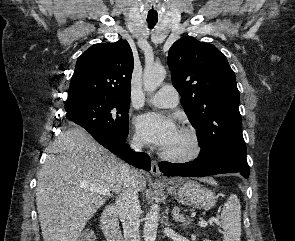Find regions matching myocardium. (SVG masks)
Segmentation results:
<instances>
[{
  "mask_svg": "<svg viewBox=\"0 0 295 241\" xmlns=\"http://www.w3.org/2000/svg\"><path fill=\"white\" fill-rule=\"evenodd\" d=\"M180 132L188 136L191 142V147L190 149L181 154H174V153H169L167 151L162 152V157L165 158L166 160H169L171 162H176V163H189L192 161L197 160L201 154L203 153L204 150V145L202 138L199 134V132L191 126H184L180 129Z\"/></svg>",
  "mask_w": 295,
  "mask_h": 241,
  "instance_id": "1",
  "label": "myocardium"
}]
</instances>
